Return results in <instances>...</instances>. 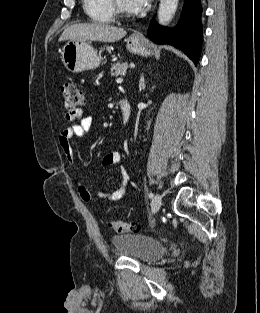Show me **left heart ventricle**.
Masks as SVG:
<instances>
[{"label": "left heart ventricle", "instance_id": "1", "mask_svg": "<svg viewBox=\"0 0 260 313\" xmlns=\"http://www.w3.org/2000/svg\"><path fill=\"white\" fill-rule=\"evenodd\" d=\"M118 1V4L119 6L126 12H129L130 10L128 9L126 3H125V0H117Z\"/></svg>", "mask_w": 260, "mask_h": 313}]
</instances>
